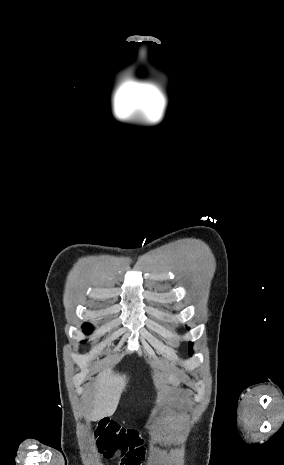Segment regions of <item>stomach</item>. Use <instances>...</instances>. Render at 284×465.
Wrapping results in <instances>:
<instances>
[{
    "label": "stomach",
    "mask_w": 284,
    "mask_h": 465,
    "mask_svg": "<svg viewBox=\"0 0 284 465\" xmlns=\"http://www.w3.org/2000/svg\"><path fill=\"white\" fill-rule=\"evenodd\" d=\"M181 387H182V385H181ZM146 427H147V429H150L151 425H146Z\"/></svg>",
    "instance_id": "obj_1"
}]
</instances>
